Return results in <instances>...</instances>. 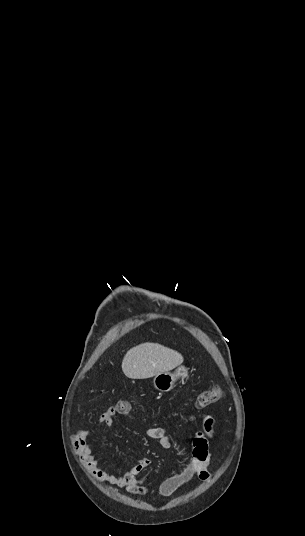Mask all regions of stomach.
I'll use <instances>...</instances> for the list:
<instances>
[{"mask_svg":"<svg viewBox=\"0 0 305 536\" xmlns=\"http://www.w3.org/2000/svg\"><path fill=\"white\" fill-rule=\"evenodd\" d=\"M189 368L185 366H179L176 368L175 372H161V374H156L153 378V386L159 392H170L172 390L175 382L180 380V378H188Z\"/></svg>","mask_w":305,"mask_h":536,"instance_id":"1","label":"stomach"}]
</instances>
